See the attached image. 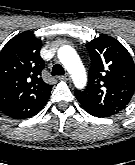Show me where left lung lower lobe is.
I'll return each mask as SVG.
<instances>
[{
  "label": "left lung lower lobe",
  "instance_id": "0a47b994",
  "mask_svg": "<svg viewBox=\"0 0 135 165\" xmlns=\"http://www.w3.org/2000/svg\"><path fill=\"white\" fill-rule=\"evenodd\" d=\"M89 114L93 115V116H96V117H106L98 112H95V111H91V110H88V109H85Z\"/></svg>",
  "mask_w": 135,
  "mask_h": 165
}]
</instances>
